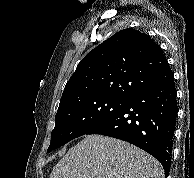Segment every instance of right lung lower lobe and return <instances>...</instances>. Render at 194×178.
<instances>
[{
  "label": "right lung lower lobe",
  "mask_w": 194,
  "mask_h": 178,
  "mask_svg": "<svg viewBox=\"0 0 194 178\" xmlns=\"http://www.w3.org/2000/svg\"><path fill=\"white\" fill-rule=\"evenodd\" d=\"M174 78L143 89L86 134L121 139L145 150L160 161L167 177L178 106Z\"/></svg>",
  "instance_id": "right-lung-lower-lobe-1"
}]
</instances>
